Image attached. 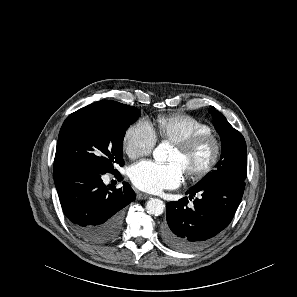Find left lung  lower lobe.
<instances>
[{"label":"left lung lower lobe","mask_w":297,"mask_h":297,"mask_svg":"<svg viewBox=\"0 0 297 297\" xmlns=\"http://www.w3.org/2000/svg\"><path fill=\"white\" fill-rule=\"evenodd\" d=\"M245 182L217 180L196 185L187 191L189 199L197 193L189 208L188 198L167 203V223L162 228L164 242L179 251H195L224 230L238 208Z\"/></svg>","instance_id":"obj_1"}]
</instances>
